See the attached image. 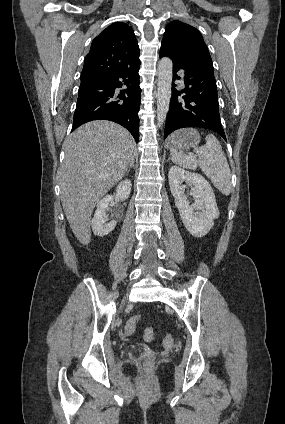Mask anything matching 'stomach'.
Wrapping results in <instances>:
<instances>
[{
  "mask_svg": "<svg viewBox=\"0 0 285 424\" xmlns=\"http://www.w3.org/2000/svg\"><path fill=\"white\" fill-rule=\"evenodd\" d=\"M200 142V135L194 129H183L173 133L167 140L166 146L177 151L195 148Z\"/></svg>",
  "mask_w": 285,
  "mask_h": 424,
  "instance_id": "stomach-1",
  "label": "stomach"
}]
</instances>
